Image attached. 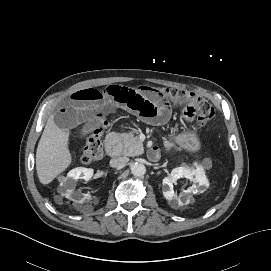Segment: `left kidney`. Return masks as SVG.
Segmentation results:
<instances>
[{
  "label": "left kidney",
  "instance_id": "left-kidney-1",
  "mask_svg": "<svg viewBox=\"0 0 271 271\" xmlns=\"http://www.w3.org/2000/svg\"><path fill=\"white\" fill-rule=\"evenodd\" d=\"M183 177L193 181L194 183H198L201 187H204L208 184L205 172L202 168H174L170 175L163 179V195L168 201L175 200L179 206L188 204L190 202L191 193L196 189V186L192 185L184 192V194L177 196L173 190V183Z\"/></svg>",
  "mask_w": 271,
  "mask_h": 271
}]
</instances>
